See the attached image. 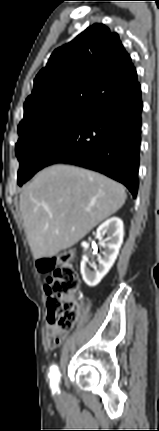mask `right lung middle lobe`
Segmentation results:
<instances>
[{"mask_svg": "<svg viewBox=\"0 0 159 431\" xmlns=\"http://www.w3.org/2000/svg\"><path fill=\"white\" fill-rule=\"evenodd\" d=\"M87 116L88 114L81 112H59L18 129L19 140L15 152L20 162V186L41 169L43 159L50 149Z\"/></svg>", "mask_w": 159, "mask_h": 431, "instance_id": "1", "label": "right lung middle lobe"}]
</instances>
